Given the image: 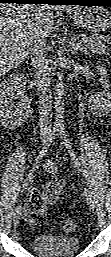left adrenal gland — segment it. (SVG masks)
<instances>
[{
    "mask_svg": "<svg viewBox=\"0 0 111 257\" xmlns=\"http://www.w3.org/2000/svg\"><path fill=\"white\" fill-rule=\"evenodd\" d=\"M79 37H72L70 42V50L73 54L76 53V51L80 50L82 52H86V48L80 41H78Z\"/></svg>",
    "mask_w": 111,
    "mask_h": 257,
    "instance_id": "a2214340",
    "label": "left adrenal gland"
}]
</instances>
